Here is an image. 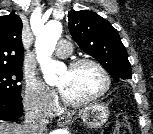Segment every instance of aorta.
<instances>
[{
  "label": "aorta",
  "instance_id": "aorta-1",
  "mask_svg": "<svg viewBox=\"0 0 153 134\" xmlns=\"http://www.w3.org/2000/svg\"><path fill=\"white\" fill-rule=\"evenodd\" d=\"M61 33V23L58 21H50L36 34L35 49L37 60L47 84L56 83L57 74L61 68L59 62L51 59V55Z\"/></svg>",
  "mask_w": 153,
  "mask_h": 134
}]
</instances>
